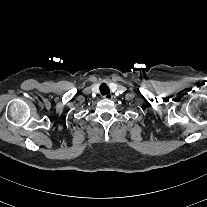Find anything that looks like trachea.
I'll use <instances>...</instances> for the list:
<instances>
[{
	"label": "trachea",
	"instance_id": "obj_1",
	"mask_svg": "<svg viewBox=\"0 0 207 207\" xmlns=\"http://www.w3.org/2000/svg\"><path fill=\"white\" fill-rule=\"evenodd\" d=\"M100 92H101V94H108V93H110V89L105 83H102L100 85Z\"/></svg>",
	"mask_w": 207,
	"mask_h": 207
}]
</instances>
